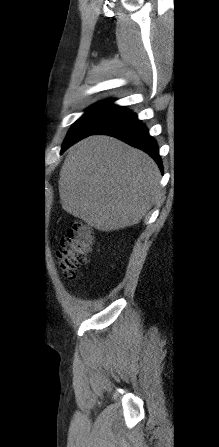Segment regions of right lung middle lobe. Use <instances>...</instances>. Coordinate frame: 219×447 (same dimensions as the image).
<instances>
[{"mask_svg": "<svg viewBox=\"0 0 219 447\" xmlns=\"http://www.w3.org/2000/svg\"><path fill=\"white\" fill-rule=\"evenodd\" d=\"M113 100H105L86 109V113L77 120L68 132L62 151L75 142L93 135L109 123L130 113L124 107L112 104Z\"/></svg>", "mask_w": 219, "mask_h": 447, "instance_id": "dd1d6c3e", "label": "right lung middle lobe"}]
</instances>
